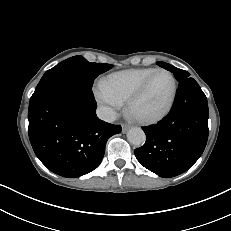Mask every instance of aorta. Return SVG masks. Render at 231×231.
<instances>
[{"instance_id": "obj_1", "label": "aorta", "mask_w": 231, "mask_h": 231, "mask_svg": "<svg viewBox=\"0 0 231 231\" xmlns=\"http://www.w3.org/2000/svg\"><path fill=\"white\" fill-rule=\"evenodd\" d=\"M127 139L133 145L141 146L146 141V135L141 128L133 127L128 131Z\"/></svg>"}]
</instances>
